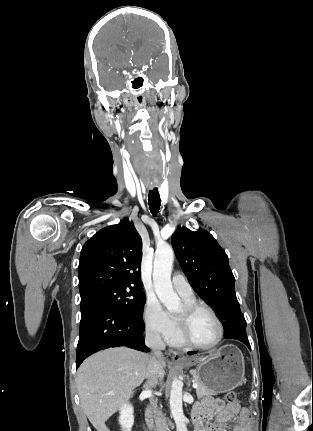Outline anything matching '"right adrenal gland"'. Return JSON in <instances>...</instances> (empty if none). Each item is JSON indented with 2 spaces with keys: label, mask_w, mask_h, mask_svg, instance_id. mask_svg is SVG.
Wrapping results in <instances>:
<instances>
[{
  "label": "right adrenal gland",
  "mask_w": 313,
  "mask_h": 431,
  "mask_svg": "<svg viewBox=\"0 0 313 431\" xmlns=\"http://www.w3.org/2000/svg\"><path fill=\"white\" fill-rule=\"evenodd\" d=\"M147 385H148V382H145V383L143 384V388H146V387H147Z\"/></svg>",
  "instance_id": "right-adrenal-gland-1"
}]
</instances>
